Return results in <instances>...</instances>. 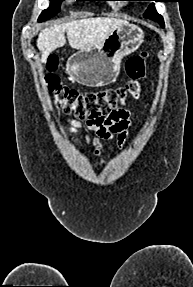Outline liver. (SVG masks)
Segmentation results:
<instances>
[{
	"label": "liver",
	"mask_w": 193,
	"mask_h": 287,
	"mask_svg": "<svg viewBox=\"0 0 193 287\" xmlns=\"http://www.w3.org/2000/svg\"><path fill=\"white\" fill-rule=\"evenodd\" d=\"M126 20L97 17L77 19L43 29L37 38V47L41 51V62L57 48L66 44L65 33L71 48L89 51L102 43L112 31L127 24Z\"/></svg>",
	"instance_id": "obj_1"
}]
</instances>
